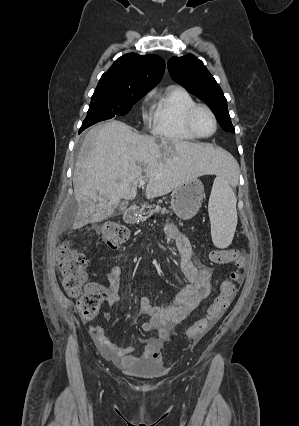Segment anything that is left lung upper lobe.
<instances>
[{
    "label": "left lung upper lobe",
    "instance_id": "5c2ea615",
    "mask_svg": "<svg viewBox=\"0 0 299 426\" xmlns=\"http://www.w3.org/2000/svg\"><path fill=\"white\" fill-rule=\"evenodd\" d=\"M168 70L174 81L210 106L223 130L235 132L226 98L202 61L191 54L172 57L168 61Z\"/></svg>",
    "mask_w": 299,
    "mask_h": 426
}]
</instances>
